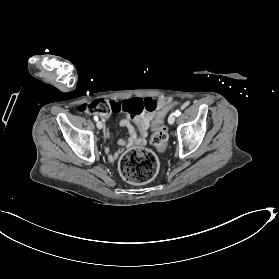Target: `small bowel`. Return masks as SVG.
I'll use <instances>...</instances> for the list:
<instances>
[{
    "label": "small bowel",
    "instance_id": "1",
    "mask_svg": "<svg viewBox=\"0 0 279 279\" xmlns=\"http://www.w3.org/2000/svg\"><path fill=\"white\" fill-rule=\"evenodd\" d=\"M153 113H144L139 116H131L124 118L120 121V126L125 127L128 130L129 137L127 139H120L116 141L119 149L116 152H112L109 148H106L105 152L110 161H115L122 153L124 147H132L137 145H143L146 142L148 136V130L150 122L153 119ZM133 123L137 126L135 129ZM105 137L110 138V133L107 130Z\"/></svg>",
    "mask_w": 279,
    "mask_h": 279
}]
</instances>
